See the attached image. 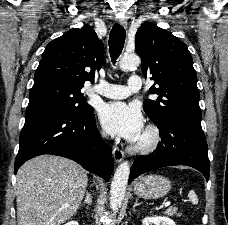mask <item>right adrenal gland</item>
I'll use <instances>...</instances> for the list:
<instances>
[{
  "mask_svg": "<svg viewBox=\"0 0 228 225\" xmlns=\"http://www.w3.org/2000/svg\"><path fill=\"white\" fill-rule=\"evenodd\" d=\"M86 203L87 205H92V197L91 195H89L88 191H86V197H85L84 203H80L81 207L82 205H86Z\"/></svg>",
  "mask_w": 228,
  "mask_h": 225,
  "instance_id": "2a0ac1e0",
  "label": "right adrenal gland"
}]
</instances>
